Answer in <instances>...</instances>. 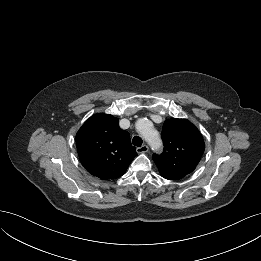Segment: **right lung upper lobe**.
Wrapping results in <instances>:
<instances>
[{"instance_id":"obj_1","label":"right lung upper lobe","mask_w":261,"mask_h":261,"mask_svg":"<svg viewBox=\"0 0 261 261\" xmlns=\"http://www.w3.org/2000/svg\"><path fill=\"white\" fill-rule=\"evenodd\" d=\"M76 145L84 168L103 180L122 176L137 156L130 135L120 129L118 118L101 113L91 116L79 129Z\"/></svg>"}]
</instances>
